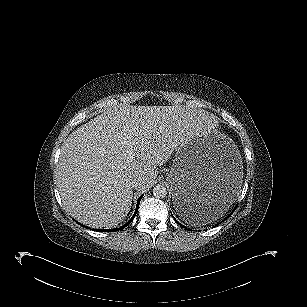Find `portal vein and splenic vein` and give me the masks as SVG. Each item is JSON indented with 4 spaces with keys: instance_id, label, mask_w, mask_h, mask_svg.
<instances>
[{
    "instance_id": "1",
    "label": "portal vein and splenic vein",
    "mask_w": 307,
    "mask_h": 307,
    "mask_svg": "<svg viewBox=\"0 0 307 307\" xmlns=\"http://www.w3.org/2000/svg\"><path fill=\"white\" fill-rule=\"evenodd\" d=\"M129 158H130V159H133V156H131V155H130V157H129Z\"/></svg>"
}]
</instances>
